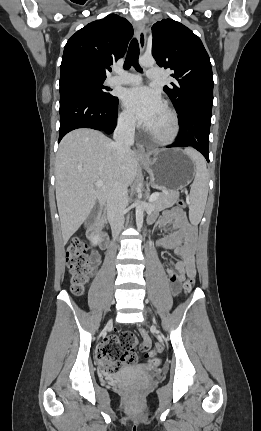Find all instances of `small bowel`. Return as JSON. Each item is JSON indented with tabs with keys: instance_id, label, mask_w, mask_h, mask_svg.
Segmentation results:
<instances>
[{
	"instance_id": "obj_1",
	"label": "small bowel",
	"mask_w": 261,
	"mask_h": 431,
	"mask_svg": "<svg viewBox=\"0 0 261 431\" xmlns=\"http://www.w3.org/2000/svg\"><path fill=\"white\" fill-rule=\"evenodd\" d=\"M157 226L159 229L167 231V234L158 240L157 245L161 248H177L179 259L167 269L172 292L177 293L180 283L188 276L195 274L194 237L196 232L189 225L185 212L178 207L165 211L158 219ZM185 237L188 238L186 242H184ZM100 261V255L93 252L90 257V267L96 269ZM152 346V341L145 334L141 354H146Z\"/></svg>"
}]
</instances>
